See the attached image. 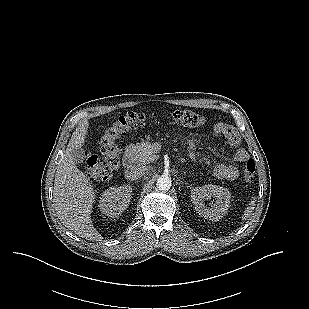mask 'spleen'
Returning a JSON list of instances; mask_svg holds the SVG:
<instances>
[{
    "mask_svg": "<svg viewBox=\"0 0 309 309\" xmlns=\"http://www.w3.org/2000/svg\"><path fill=\"white\" fill-rule=\"evenodd\" d=\"M254 205H255V198L253 197L251 202L249 203V207H247L246 210L244 211V214L242 216L243 220H246L248 217H250L252 210L254 209Z\"/></svg>",
    "mask_w": 309,
    "mask_h": 309,
    "instance_id": "obj_1",
    "label": "spleen"
}]
</instances>
